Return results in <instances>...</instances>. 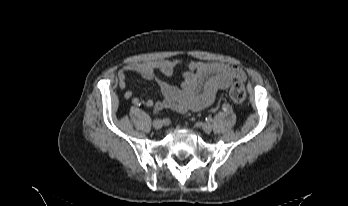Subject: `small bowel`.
<instances>
[{
    "label": "small bowel",
    "mask_w": 348,
    "mask_h": 206,
    "mask_svg": "<svg viewBox=\"0 0 348 206\" xmlns=\"http://www.w3.org/2000/svg\"><path fill=\"white\" fill-rule=\"evenodd\" d=\"M183 65L187 71L181 86H175L158 77L162 74L170 77L176 67ZM135 72L147 80L155 81L162 93V99L154 102L150 98L134 97L132 90L124 94L137 107H152L155 112L173 109L180 113L199 111L210 106L220 90L227 89L233 81H246L247 76L242 68L233 64L216 62H179L157 60L130 63L118 71L120 89L127 87V74Z\"/></svg>",
    "instance_id": "small-bowel-1"
}]
</instances>
